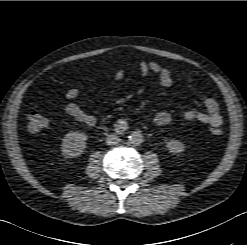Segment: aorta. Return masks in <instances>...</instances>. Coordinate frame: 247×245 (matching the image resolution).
<instances>
[{"mask_svg":"<svg viewBox=\"0 0 247 245\" xmlns=\"http://www.w3.org/2000/svg\"><path fill=\"white\" fill-rule=\"evenodd\" d=\"M129 143L134 146H140L143 143V136L140 132H132L128 136Z\"/></svg>","mask_w":247,"mask_h":245,"instance_id":"1","label":"aorta"}]
</instances>
